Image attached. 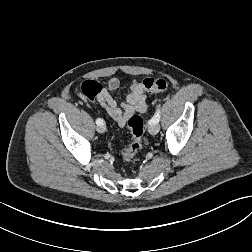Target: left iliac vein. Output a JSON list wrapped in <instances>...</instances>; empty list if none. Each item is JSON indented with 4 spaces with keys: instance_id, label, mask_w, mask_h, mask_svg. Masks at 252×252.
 I'll return each instance as SVG.
<instances>
[{
    "instance_id": "4c4485c4",
    "label": "left iliac vein",
    "mask_w": 252,
    "mask_h": 252,
    "mask_svg": "<svg viewBox=\"0 0 252 252\" xmlns=\"http://www.w3.org/2000/svg\"><path fill=\"white\" fill-rule=\"evenodd\" d=\"M159 130H160V126L158 124H150L148 127V131L152 135L157 134Z\"/></svg>"
}]
</instances>
